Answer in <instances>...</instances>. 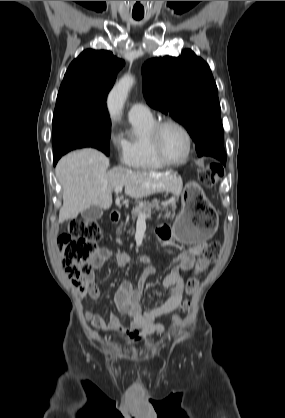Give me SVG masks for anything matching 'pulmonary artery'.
<instances>
[{
	"label": "pulmonary artery",
	"mask_w": 285,
	"mask_h": 418,
	"mask_svg": "<svg viewBox=\"0 0 285 418\" xmlns=\"http://www.w3.org/2000/svg\"><path fill=\"white\" fill-rule=\"evenodd\" d=\"M128 117L130 121L150 120L153 118V115L146 105L136 102L130 106Z\"/></svg>",
	"instance_id": "obj_1"
}]
</instances>
